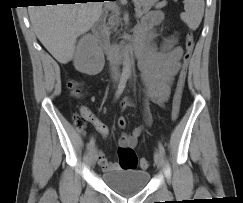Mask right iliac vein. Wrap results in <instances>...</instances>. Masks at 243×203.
<instances>
[{"label": "right iliac vein", "instance_id": "right-iliac-vein-1", "mask_svg": "<svg viewBox=\"0 0 243 203\" xmlns=\"http://www.w3.org/2000/svg\"><path fill=\"white\" fill-rule=\"evenodd\" d=\"M97 149L96 148H92L91 152H90V164L92 166L95 165L96 161H97Z\"/></svg>", "mask_w": 243, "mask_h": 203}]
</instances>
